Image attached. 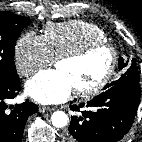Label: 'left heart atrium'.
Wrapping results in <instances>:
<instances>
[{
  "instance_id": "39dd6f15",
  "label": "left heart atrium",
  "mask_w": 142,
  "mask_h": 142,
  "mask_svg": "<svg viewBox=\"0 0 142 142\" xmlns=\"http://www.w3.org/2000/svg\"><path fill=\"white\" fill-rule=\"evenodd\" d=\"M74 87L69 76L59 70H42L26 83L27 94L41 104L66 100Z\"/></svg>"
}]
</instances>
